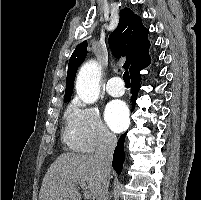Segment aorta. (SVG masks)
I'll return each instance as SVG.
<instances>
[{
	"label": "aorta",
	"mask_w": 201,
	"mask_h": 200,
	"mask_svg": "<svg viewBox=\"0 0 201 200\" xmlns=\"http://www.w3.org/2000/svg\"><path fill=\"white\" fill-rule=\"evenodd\" d=\"M100 79L101 68L96 61H89L80 68L76 80V92L83 102L92 104L97 101Z\"/></svg>",
	"instance_id": "obj_1"
}]
</instances>
